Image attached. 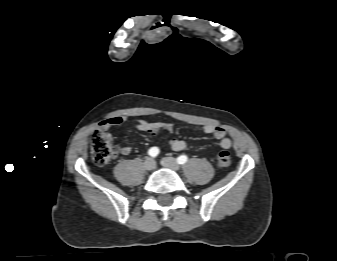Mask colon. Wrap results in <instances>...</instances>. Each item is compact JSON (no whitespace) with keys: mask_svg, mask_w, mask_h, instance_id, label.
I'll use <instances>...</instances> for the list:
<instances>
[{"mask_svg":"<svg viewBox=\"0 0 337 261\" xmlns=\"http://www.w3.org/2000/svg\"><path fill=\"white\" fill-rule=\"evenodd\" d=\"M91 154L94 162L98 165L107 164L115 154V147L111 136L101 130H97L91 137ZM231 164V156L228 151H221L216 157L218 168L224 169Z\"/></svg>","mask_w":337,"mask_h":261,"instance_id":"1","label":"colon"}]
</instances>
